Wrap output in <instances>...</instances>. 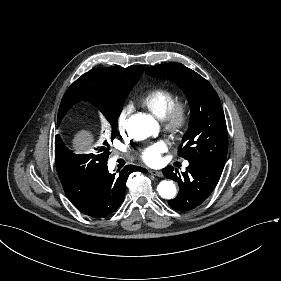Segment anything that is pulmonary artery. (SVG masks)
<instances>
[{
    "mask_svg": "<svg viewBox=\"0 0 281 281\" xmlns=\"http://www.w3.org/2000/svg\"><path fill=\"white\" fill-rule=\"evenodd\" d=\"M122 157V154H117L114 159H117V158H121Z\"/></svg>",
    "mask_w": 281,
    "mask_h": 281,
    "instance_id": "pulmonary-artery-1",
    "label": "pulmonary artery"
}]
</instances>
